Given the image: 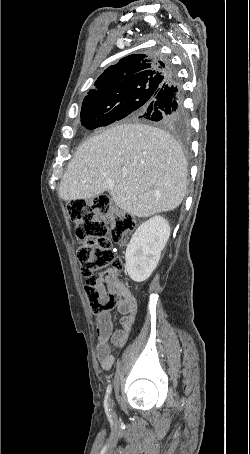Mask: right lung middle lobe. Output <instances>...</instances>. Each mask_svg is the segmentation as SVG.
<instances>
[{"mask_svg":"<svg viewBox=\"0 0 250 454\" xmlns=\"http://www.w3.org/2000/svg\"><path fill=\"white\" fill-rule=\"evenodd\" d=\"M160 88L157 84H145L121 97L82 105L81 124L87 129H95L128 116L138 117Z\"/></svg>","mask_w":250,"mask_h":454,"instance_id":"right-lung-middle-lobe-1","label":"right lung middle lobe"}]
</instances>
